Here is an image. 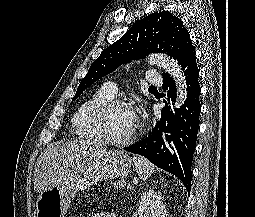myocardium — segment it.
I'll list each match as a JSON object with an SVG mask.
<instances>
[{
    "instance_id": "myocardium-1",
    "label": "myocardium",
    "mask_w": 255,
    "mask_h": 217,
    "mask_svg": "<svg viewBox=\"0 0 255 217\" xmlns=\"http://www.w3.org/2000/svg\"><path fill=\"white\" fill-rule=\"evenodd\" d=\"M118 107H127L131 109V105L121 99H110L99 106L93 114V123L96 131L103 141L112 145H126L132 142L137 134V127L125 138H114L109 134L107 128V118L109 113Z\"/></svg>"
}]
</instances>
